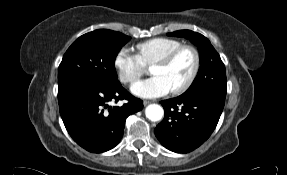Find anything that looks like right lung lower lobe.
Segmentation results:
<instances>
[{
  "instance_id": "obj_1",
  "label": "right lung lower lobe",
  "mask_w": 287,
  "mask_h": 175,
  "mask_svg": "<svg viewBox=\"0 0 287 175\" xmlns=\"http://www.w3.org/2000/svg\"><path fill=\"white\" fill-rule=\"evenodd\" d=\"M126 99L121 107L111 101ZM59 110L73 140L85 150L102 153L114 148L123 136L126 118L143 108L142 100L132 96L121 84L103 87L74 82L58 87Z\"/></svg>"
}]
</instances>
